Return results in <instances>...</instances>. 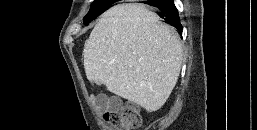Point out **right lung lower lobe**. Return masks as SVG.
Instances as JSON below:
<instances>
[{"instance_id":"98d812e1","label":"right lung lower lobe","mask_w":257,"mask_h":130,"mask_svg":"<svg viewBox=\"0 0 257 130\" xmlns=\"http://www.w3.org/2000/svg\"><path fill=\"white\" fill-rule=\"evenodd\" d=\"M146 4L158 8L160 12L159 16L164 19V22L174 26L180 32H182V25L180 24L178 10L176 9L172 0L151 1L146 2Z\"/></svg>"}]
</instances>
